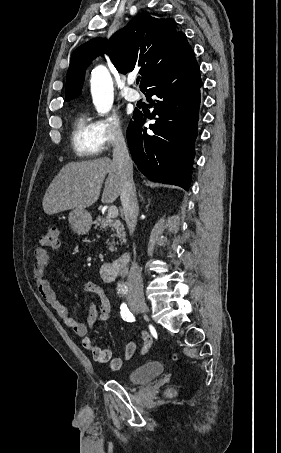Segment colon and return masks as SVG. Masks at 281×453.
Segmentation results:
<instances>
[{
	"instance_id": "obj_1",
	"label": "colon",
	"mask_w": 281,
	"mask_h": 453,
	"mask_svg": "<svg viewBox=\"0 0 281 453\" xmlns=\"http://www.w3.org/2000/svg\"><path fill=\"white\" fill-rule=\"evenodd\" d=\"M60 226H47L45 232L41 235L39 240V247H44L46 251L54 249L57 246V238L60 233ZM183 355L180 353L173 354V360L175 362H183ZM172 391H168L167 395H172Z\"/></svg>"
}]
</instances>
